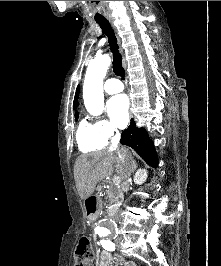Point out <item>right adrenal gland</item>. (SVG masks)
Segmentation results:
<instances>
[{"instance_id": "2a0ac1e0", "label": "right adrenal gland", "mask_w": 221, "mask_h": 266, "mask_svg": "<svg viewBox=\"0 0 221 266\" xmlns=\"http://www.w3.org/2000/svg\"><path fill=\"white\" fill-rule=\"evenodd\" d=\"M137 167H138V166L135 164L134 169H133L132 172H134V171L137 169Z\"/></svg>"}]
</instances>
